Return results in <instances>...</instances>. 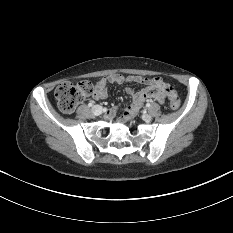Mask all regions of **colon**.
I'll return each mask as SVG.
<instances>
[{
  "label": "colon",
  "mask_w": 233,
  "mask_h": 233,
  "mask_svg": "<svg viewBox=\"0 0 233 233\" xmlns=\"http://www.w3.org/2000/svg\"><path fill=\"white\" fill-rule=\"evenodd\" d=\"M93 91L94 87L89 81L66 82L59 85L55 90V97L60 111L64 114L72 113L75 107ZM179 106L180 98L174 93L170 99V107L172 110H176Z\"/></svg>",
  "instance_id": "obj_1"
}]
</instances>
